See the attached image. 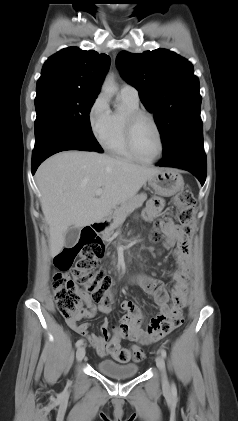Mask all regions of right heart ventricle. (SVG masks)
Returning a JSON list of instances; mask_svg holds the SVG:
<instances>
[{
	"mask_svg": "<svg viewBox=\"0 0 238 421\" xmlns=\"http://www.w3.org/2000/svg\"><path fill=\"white\" fill-rule=\"evenodd\" d=\"M121 100L124 104V110L111 112L108 131L101 143L111 154L134 162L136 159L129 151L125 140L124 120L128 112L139 109V103L132 102L124 97H121Z\"/></svg>",
	"mask_w": 238,
	"mask_h": 421,
	"instance_id": "obj_1",
	"label": "right heart ventricle"
}]
</instances>
